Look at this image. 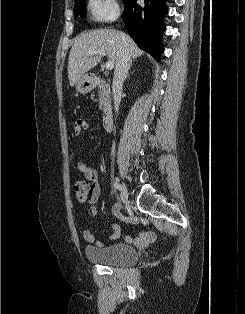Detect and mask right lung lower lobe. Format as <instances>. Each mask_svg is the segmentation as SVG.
Here are the masks:
<instances>
[{"instance_id":"obj_1","label":"right lung lower lobe","mask_w":245,"mask_h":314,"mask_svg":"<svg viewBox=\"0 0 245 314\" xmlns=\"http://www.w3.org/2000/svg\"><path fill=\"white\" fill-rule=\"evenodd\" d=\"M136 1L127 0L122 18L137 45L159 60L164 50L161 34L165 30L163 17L167 13V0H144L143 5Z\"/></svg>"}]
</instances>
